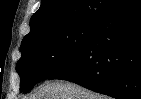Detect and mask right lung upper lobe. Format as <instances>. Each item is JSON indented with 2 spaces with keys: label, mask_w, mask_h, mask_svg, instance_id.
I'll return each instance as SVG.
<instances>
[{
  "label": "right lung upper lobe",
  "mask_w": 141,
  "mask_h": 99,
  "mask_svg": "<svg viewBox=\"0 0 141 99\" xmlns=\"http://www.w3.org/2000/svg\"><path fill=\"white\" fill-rule=\"evenodd\" d=\"M131 0H42L22 42L81 21H100Z\"/></svg>",
  "instance_id": "cb5924a9"
}]
</instances>
